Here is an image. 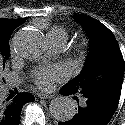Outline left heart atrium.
<instances>
[{"mask_svg": "<svg viewBox=\"0 0 125 125\" xmlns=\"http://www.w3.org/2000/svg\"><path fill=\"white\" fill-rule=\"evenodd\" d=\"M66 75L62 66H53L35 71L34 80L42 89H49L54 81H58Z\"/></svg>", "mask_w": 125, "mask_h": 125, "instance_id": "obj_1", "label": "left heart atrium"}]
</instances>
